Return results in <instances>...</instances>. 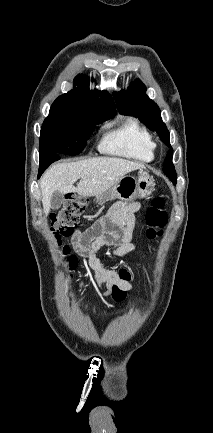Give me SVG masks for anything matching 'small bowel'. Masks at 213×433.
Segmentation results:
<instances>
[{"instance_id": "small-bowel-1", "label": "small bowel", "mask_w": 213, "mask_h": 433, "mask_svg": "<svg viewBox=\"0 0 213 433\" xmlns=\"http://www.w3.org/2000/svg\"><path fill=\"white\" fill-rule=\"evenodd\" d=\"M139 208L138 203H116L106 217L71 235L74 251L84 260L85 268L94 273L95 286L104 284L106 287L100 294L101 297L110 295L116 287L122 291L131 289V284L122 280L115 270L104 266L96 254L104 246H112V253L116 257L135 250L132 238L136 227L135 213ZM81 285L82 282L79 281V286Z\"/></svg>"}]
</instances>
